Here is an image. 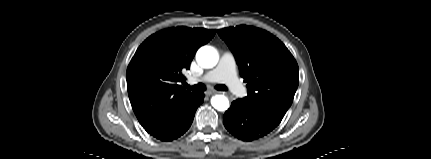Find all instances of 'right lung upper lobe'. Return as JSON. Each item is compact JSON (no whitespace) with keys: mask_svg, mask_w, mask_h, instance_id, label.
<instances>
[{"mask_svg":"<svg viewBox=\"0 0 431 159\" xmlns=\"http://www.w3.org/2000/svg\"><path fill=\"white\" fill-rule=\"evenodd\" d=\"M216 30L174 27L147 38L137 49L126 72L133 111L147 131H153L193 94L180 85L183 72L198 48Z\"/></svg>","mask_w":431,"mask_h":159,"instance_id":"obj_1","label":"right lung upper lobe"}]
</instances>
